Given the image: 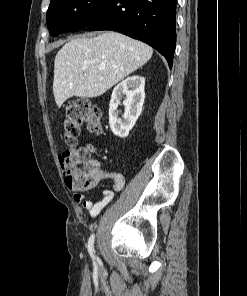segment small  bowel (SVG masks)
<instances>
[{"mask_svg": "<svg viewBox=\"0 0 247 296\" xmlns=\"http://www.w3.org/2000/svg\"><path fill=\"white\" fill-rule=\"evenodd\" d=\"M103 179H111L113 181V190L105 189L101 192L98 200L86 199L83 193H75L73 199L76 203L82 204L83 208L91 217L97 216L101 210L107 206L114 197V191H121L125 185L124 176L119 172H110L100 169Z\"/></svg>", "mask_w": 247, "mask_h": 296, "instance_id": "1", "label": "small bowel"}]
</instances>
